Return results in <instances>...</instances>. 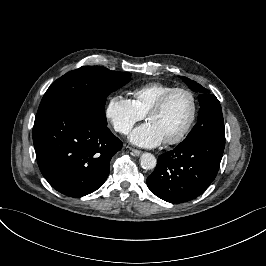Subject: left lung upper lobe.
Here are the masks:
<instances>
[{"label": "left lung upper lobe", "mask_w": 266, "mask_h": 266, "mask_svg": "<svg viewBox=\"0 0 266 266\" xmlns=\"http://www.w3.org/2000/svg\"><path fill=\"white\" fill-rule=\"evenodd\" d=\"M182 79L193 91L199 92L200 110L196 125L180 144H187L206 136L225 138L222 109L218 99L195 81L186 77Z\"/></svg>", "instance_id": "obj_1"}]
</instances>
